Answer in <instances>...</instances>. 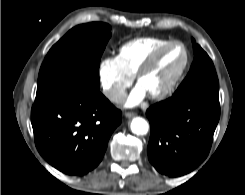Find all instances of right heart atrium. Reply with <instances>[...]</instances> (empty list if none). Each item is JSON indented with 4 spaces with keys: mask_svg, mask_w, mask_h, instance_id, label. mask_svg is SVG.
<instances>
[{
    "mask_svg": "<svg viewBox=\"0 0 245 195\" xmlns=\"http://www.w3.org/2000/svg\"><path fill=\"white\" fill-rule=\"evenodd\" d=\"M97 74L105 96L112 102H121L133 77L123 70L117 58H103L98 64Z\"/></svg>",
    "mask_w": 245,
    "mask_h": 195,
    "instance_id": "d8ad5b80",
    "label": "right heart atrium"
}]
</instances>
